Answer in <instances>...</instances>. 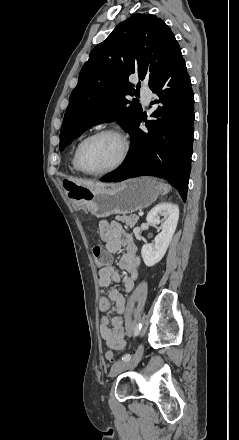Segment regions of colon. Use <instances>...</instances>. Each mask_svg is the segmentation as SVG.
I'll return each instance as SVG.
<instances>
[{"label":"colon","mask_w":239,"mask_h":440,"mask_svg":"<svg viewBox=\"0 0 239 440\" xmlns=\"http://www.w3.org/2000/svg\"><path fill=\"white\" fill-rule=\"evenodd\" d=\"M93 257L98 266H105L108 262V257L100 246L93 248ZM105 358L107 361L112 362L114 360V353L112 351H106Z\"/></svg>","instance_id":"1"}]
</instances>
